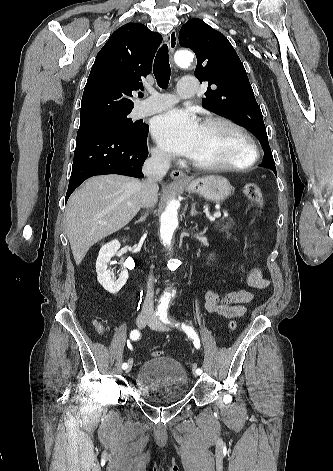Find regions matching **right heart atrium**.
Masks as SVG:
<instances>
[{
  "label": "right heart atrium",
  "mask_w": 333,
  "mask_h": 471,
  "mask_svg": "<svg viewBox=\"0 0 333 471\" xmlns=\"http://www.w3.org/2000/svg\"><path fill=\"white\" fill-rule=\"evenodd\" d=\"M152 153L154 159L161 164H167L170 161V155L160 148L153 149Z\"/></svg>",
  "instance_id": "1"
}]
</instances>
